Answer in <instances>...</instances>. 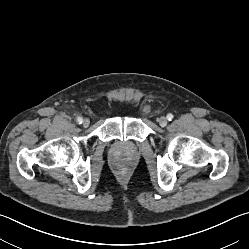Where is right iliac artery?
I'll list each match as a JSON object with an SVG mask.
<instances>
[{
    "instance_id": "right-iliac-artery-1",
    "label": "right iliac artery",
    "mask_w": 249,
    "mask_h": 249,
    "mask_svg": "<svg viewBox=\"0 0 249 249\" xmlns=\"http://www.w3.org/2000/svg\"><path fill=\"white\" fill-rule=\"evenodd\" d=\"M82 122H83V118H82V117H78V118H77V123H78V124H82Z\"/></svg>"
}]
</instances>
